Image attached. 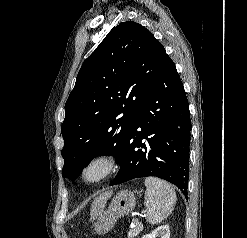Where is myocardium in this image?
Returning a JSON list of instances; mask_svg holds the SVG:
<instances>
[{
    "label": "myocardium",
    "mask_w": 247,
    "mask_h": 238,
    "mask_svg": "<svg viewBox=\"0 0 247 238\" xmlns=\"http://www.w3.org/2000/svg\"><path fill=\"white\" fill-rule=\"evenodd\" d=\"M116 168L117 158L112 153L97 152L82 165L79 178L86 185H94L110 177Z\"/></svg>",
    "instance_id": "1"
}]
</instances>
